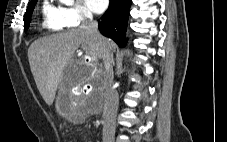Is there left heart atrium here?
<instances>
[{"instance_id": "1", "label": "left heart atrium", "mask_w": 227, "mask_h": 142, "mask_svg": "<svg viewBox=\"0 0 227 142\" xmlns=\"http://www.w3.org/2000/svg\"><path fill=\"white\" fill-rule=\"evenodd\" d=\"M86 5L95 13L104 12L109 4V0H85Z\"/></svg>"}]
</instances>
